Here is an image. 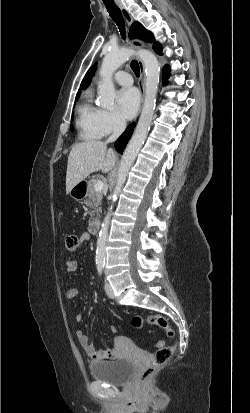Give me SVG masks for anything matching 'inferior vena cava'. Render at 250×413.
Segmentation results:
<instances>
[{"label":"inferior vena cava","mask_w":250,"mask_h":413,"mask_svg":"<svg viewBox=\"0 0 250 413\" xmlns=\"http://www.w3.org/2000/svg\"><path fill=\"white\" fill-rule=\"evenodd\" d=\"M126 120L124 118H118L114 127L112 135L107 139L106 143L115 142L122 132L125 130Z\"/></svg>","instance_id":"obj_1"}]
</instances>
